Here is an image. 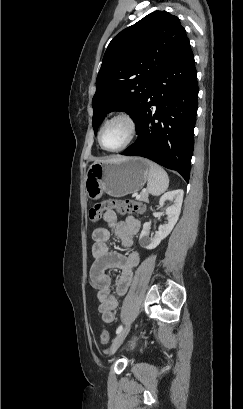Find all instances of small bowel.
<instances>
[{"instance_id": "obj_1", "label": "small bowel", "mask_w": 243, "mask_h": 409, "mask_svg": "<svg viewBox=\"0 0 243 409\" xmlns=\"http://www.w3.org/2000/svg\"><path fill=\"white\" fill-rule=\"evenodd\" d=\"M106 226L96 227L92 231V254L94 261L89 270L91 285L97 291L98 311L105 323H113L118 311V301L111 291L112 279L107 271L110 269L120 270V276L116 282V295L126 294L133 276V270L139 263V254L134 248V237L140 230V222L133 216L120 221L117 214L108 210L103 214ZM111 231L121 240L127 250L125 254L111 250L108 242Z\"/></svg>"}]
</instances>
